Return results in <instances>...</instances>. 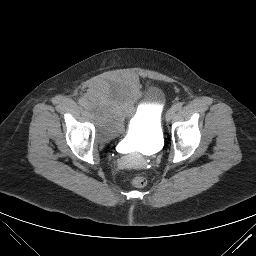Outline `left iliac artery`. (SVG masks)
Wrapping results in <instances>:
<instances>
[{"label":"left iliac artery","mask_w":256,"mask_h":256,"mask_svg":"<svg viewBox=\"0 0 256 256\" xmlns=\"http://www.w3.org/2000/svg\"><path fill=\"white\" fill-rule=\"evenodd\" d=\"M174 110L175 111H178L182 108V103H176L174 106H173Z\"/></svg>","instance_id":"obj_1"}]
</instances>
